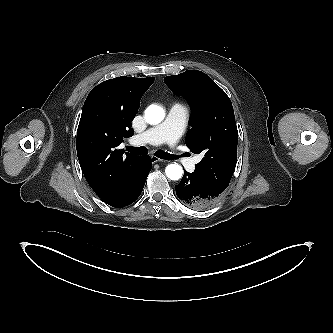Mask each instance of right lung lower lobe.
Masks as SVG:
<instances>
[{
    "label": "right lung lower lobe",
    "instance_id": "right-lung-lower-lobe-1",
    "mask_svg": "<svg viewBox=\"0 0 333 333\" xmlns=\"http://www.w3.org/2000/svg\"><path fill=\"white\" fill-rule=\"evenodd\" d=\"M151 168V159L148 156H142L132 169L123 196L111 206L121 208L133 203L141 194Z\"/></svg>",
    "mask_w": 333,
    "mask_h": 333
}]
</instances>
